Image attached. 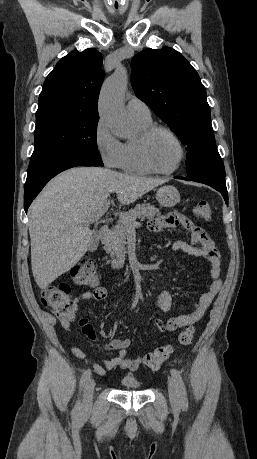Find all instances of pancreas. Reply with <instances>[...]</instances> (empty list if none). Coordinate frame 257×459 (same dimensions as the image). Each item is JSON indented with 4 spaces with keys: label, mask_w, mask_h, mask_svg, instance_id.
Here are the masks:
<instances>
[{
    "label": "pancreas",
    "mask_w": 257,
    "mask_h": 459,
    "mask_svg": "<svg viewBox=\"0 0 257 459\" xmlns=\"http://www.w3.org/2000/svg\"><path fill=\"white\" fill-rule=\"evenodd\" d=\"M127 219L120 218L119 222L105 234L102 239L104 249L111 257L124 256L126 253V236L129 228L128 220L131 218H148L152 219L155 216H159V209L155 206L144 203L138 204L133 209L125 212Z\"/></svg>",
    "instance_id": "1"
}]
</instances>
